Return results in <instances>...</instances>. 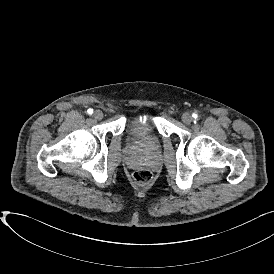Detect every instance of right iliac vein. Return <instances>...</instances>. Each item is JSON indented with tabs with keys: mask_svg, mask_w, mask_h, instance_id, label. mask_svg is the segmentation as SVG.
I'll list each match as a JSON object with an SVG mask.
<instances>
[{
	"mask_svg": "<svg viewBox=\"0 0 274 274\" xmlns=\"http://www.w3.org/2000/svg\"><path fill=\"white\" fill-rule=\"evenodd\" d=\"M93 116L95 119L101 120L103 118V112L101 110H96Z\"/></svg>",
	"mask_w": 274,
	"mask_h": 274,
	"instance_id": "1",
	"label": "right iliac vein"
}]
</instances>
